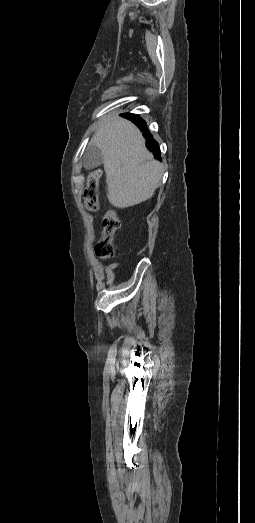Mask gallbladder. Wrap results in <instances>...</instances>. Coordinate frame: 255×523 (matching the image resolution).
<instances>
[{"label": "gallbladder", "instance_id": "bac80fb5", "mask_svg": "<svg viewBox=\"0 0 255 523\" xmlns=\"http://www.w3.org/2000/svg\"><path fill=\"white\" fill-rule=\"evenodd\" d=\"M103 162V154L102 150L98 148V146H94V144H90L88 148H86L84 154H83V166L85 170H93V168H97V166H101Z\"/></svg>", "mask_w": 255, "mask_h": 523}]
</instances>
